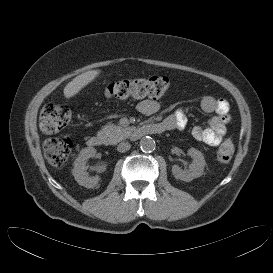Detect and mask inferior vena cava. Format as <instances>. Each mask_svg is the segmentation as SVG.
I'll use <instances>...</instances> for the list:
<instances>
[{"label": "inferior vena cava", "mask_w": 273, "mask_h": 273, "mask_svg": "<svg viewBox=\"0 0 273 273\" xmlns=\"http://www.w3.org/2000/svg\"><path fill=\"white\" fill-rule=\"evenodd\" d=\"M130 147H131L130 143H128V142H122V143L118 144L117 150L119 152L123 153V152L128 151L130 149Z\"/></svg>", "instance_id": "602c4592"}]
</instances>
